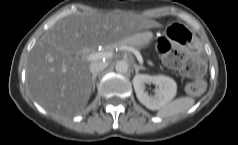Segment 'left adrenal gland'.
<instances>
[{"label":"left adrenal gland","mask_w":238,"mask_h":145,"mask_svg":"<svg viewBox=\"0 0 238 145\" xmlns=\"http://www.w3.org/2000/svg\"><path fill=\"white\" fill-rule=\"evenodd\" d=\"M133 67L135 68V73H136V75L138 74V71H139V70H145L144 67L138 66L137 64H134Z\"/></svg>","instance_id":"1"}]
</instances>
